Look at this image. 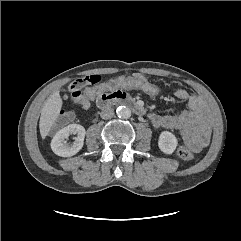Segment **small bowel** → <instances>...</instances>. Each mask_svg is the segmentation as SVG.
<instances>
[{
	"mask_svg": "<svg viewBox=\"0 0 241 241\" xmlns=\"http://www.w3.org/2000/svg\"><path fill=\"white\" fill-rule=\"evenodd\" d=\"M136 76L145 78L142 74ZM174 96L187 103L186 110L177 114L150 113L149 120L155 128L179 130L185 145L192 151L199 152L208 145L210 139L211 121L207 107L198 95L190 94L184 89H177ZM90 99L83 97L73 100L79 102L83 109H88Z\"/></svg>",
	"mask_w": 241,
	"mask_h": 241,
	"instance_id": "obj_1",
	"label": "small bowel"
}]
</instances>
